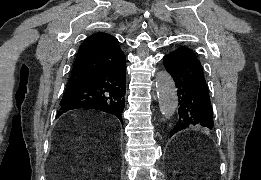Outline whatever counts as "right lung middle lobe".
Listing matches in <instances>:
<instances>
[{
  "label": "right lung middle lobe",
  "instance_id": "dd1d6c3e",
  "mask_svg": "<svg viewBox=\"0 0 261 180\" xmlns=\"http://www.w3.org/2000/svg\"><path fill=\"white\" fill-rule=\"evenodd\" d=\"M71 87H72L71 84H67V87H66L65 91L69 90Z\"/></svg>",
  "mask_w": 261,
  "mask_h": 180
}]
</instances>
